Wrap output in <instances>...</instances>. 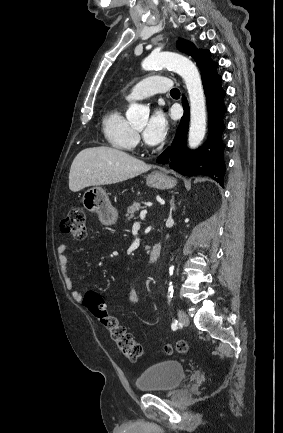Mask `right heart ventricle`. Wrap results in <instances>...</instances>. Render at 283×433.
<instances>
[{"label":"right heart ventricle","instance_id":"right-heart-ventricle-1","mask_svg":"<svg viewBox=\"0 0 283 433\" xmlns=\"http://www.w3.org/2000/svg\"><path fill=\"white\" fill-rule=\"evenodd\" d=\"M102 130L105 138L115 148L131 144L135 137V130L125 118L121 106L113 108L103 116Z\"/></svg>","mask_w":283,"mask_h":433}]
</instances>
